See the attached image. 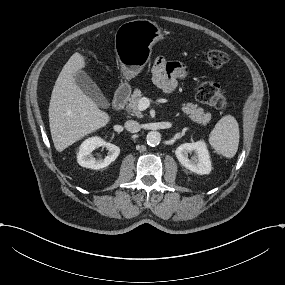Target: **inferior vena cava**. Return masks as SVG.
<instances>
[{
	"instance_id": "inferior-vena-cava-1",
	"label": "inferior vena cava",
	"mask_w": 285,
	"mask_h": 285,
	"mask_svg": "<svg viewBox=\"0 0 285 285\" xmlns=\"http://www.w3.org/2000/svg\"><path fill=\"white\" fill-rule=\"evenodd\" d=\"M125 128L131 133H136L140 131L141 126L137 121L129 120L125 122Z\"/></svg>"
}]
</instances>
